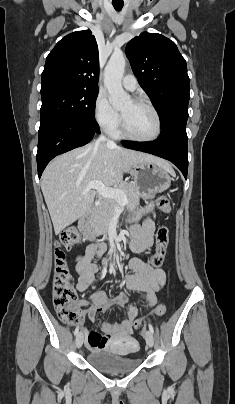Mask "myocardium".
Returning a JSON list of instances; mask_svg holds the SVG:
<instances>
[{"label":"myocardium","instance_id":"obj_1","mask_svg":"<svg viewBox=\"0 0 235 404\" xmlns=\"http://www.w3.org/2000/svg\"><path fill=\"white\" fill-rule=\"evenodd\" d=\"M132 101L137 105H141V106L148 108L153 113L155 120H156V129H155L154 134L151 137H148V138L136 137L128 131L125 120L121 114L120 115L121 134L129 140L134 141V142H139V143H149V142H153V141L157 140L160 137L161 131H162V123H161V117L159 115V112L150 102L146 101L145 99L136 98V99H133Z\"/></svg>","mask_w":235,"mask_h":404}]
</instances>
